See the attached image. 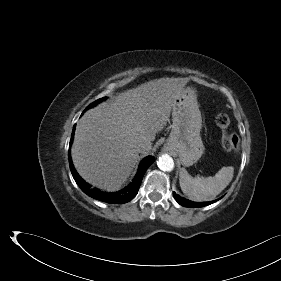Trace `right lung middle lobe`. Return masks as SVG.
Returning a JSON list of instances; mask_svg holds the SVG:
<instances>
[{
  "mask_svg": "<svg viewBox=\"0 0 281 281\" xmlns=\"http://www.w3.org/2000/svg\"><path fill=\"white\" fill-rule=\"evenodd\" d=\"M105 99H106V97L101 98V99L95 101L94 103H92L91 105H89L85 110H87V109L90 108V107H93L94 105H96L97 103H99V102H101V101H103V100H105Z\"/></svg>",
  "mask_w": 281,
  "mask_h": 281,
  "instance_id": "obj_1",
  "label": "right lung middle lobe"
}]
</instances>
